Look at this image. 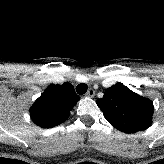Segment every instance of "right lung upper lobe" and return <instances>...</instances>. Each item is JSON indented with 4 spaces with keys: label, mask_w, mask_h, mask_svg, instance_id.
Instances as JSON below:
<instances>
[{
    "label": "right lung upper lobe",
    "mask_w": 164,
    "mask_h": 164,
    "mask_svg": "<svg viewBox=\"0 0 164 164\" xmlns=\"http://www.w3.org/2000/svg\"><path fill=\"white\" fill-rule=\"evenodd\" d=\"M79 99L68 82L50 85L30 108L31 119L42 128L57 126L69 118L70 111Z\"/></svg>",
    "instance_id": "cb5924a9"
}]
</instances>
